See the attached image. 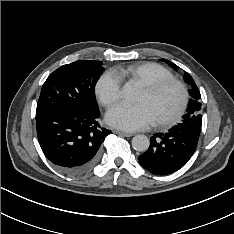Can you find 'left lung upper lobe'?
Masks as SVG:
<instances>
[{"label":"left lung upper lobe","instance_id":"obj_1","mask_svg":"<svg viewBox=\"0 0 234 234\" xmlns=\"http://www.w3.org/2000/svg\"><path fill=\"white\" fill-rule=\"evenodd\" d=\"M167 64H169L172 67H177L174 63L162 59ZM185 81L191 85L192 89L189 90V94L191 96L189 101V106L187 109L186 114L183 116V120L178 125L185 127L186 129L193 130L197 133L201 132V125H202V115H201V95L198 87L196 86L193 78L186 73L185 74Z\"/></svg>","mask_w":234,"mask_h":234}]
</instances>
